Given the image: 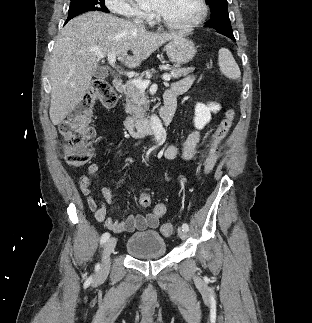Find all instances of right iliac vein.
<instances>
[{"instance_id":"right-iliac-vein-1","label":"right iliac vein","mask_w":312,"mask_h":323,"mask_svg":"<svg viewBox=\"0 0 312 323\" xmlns=\"http://www.w3.org/2000/svg\"><path fill=\"white\" fill-rule=\"evenodd\" d=\"M117 240L115 237L109 238L104 246L103 251V258H102V265L98 274V277H101L102 275L106 274L109 270V257L111 252L115 249Z\"/></svg>"}]
</instances>
